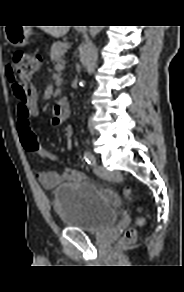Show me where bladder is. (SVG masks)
I'll return each mask as SVG.
<instances>
[{
  "instance_id": "31cf9c89",
  "label": "bladder",
  "mask_w": 184,
  "mask_h": 292,
  "mask_svg": "<svg viewBox=\"0 0 184 292\" xmlns=\"http://www.w3.org/2000/svg\"><path fill=\"white\" fill-rule=\"evenodd\" d=\"M52 205L65 227L96 234L116 221L120 198L112 191L80 182L56 189Z\"/></svg>"
}]
</instances>
